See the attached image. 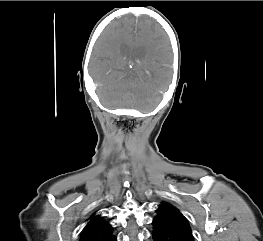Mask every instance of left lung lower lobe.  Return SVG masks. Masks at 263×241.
<instances>
[{
	"mask_svg": "<svg viewBox=\"0 0 263 241\" xmlns=\"http://www.w3.org/2000/svg\"><path fill=\"white\" fill-rule=\"evenodd\" d=\"M152 223L154 225V231L152 233L154 241H194L193 238L177 232L158 220L154 219Z\"/></svg>",
	"mask_w": 263,
	"mask_h": 241,
	"instance_id": "0a47b994",
	"label": "left lung lower lobe"
}]
</instances>
